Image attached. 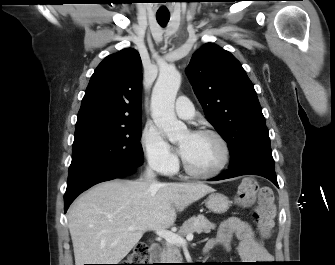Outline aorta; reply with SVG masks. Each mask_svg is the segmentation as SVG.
<instances>
[{
	"mask_svg": "<svg viewBox=\"0 0 335 265\" xmlns=\"http://www.w3.org/2000/svg\"><path fill=\"white\" fill-rule=\"evenodd\" d=\"M181 84V74L172 67L160 70L151 98L152 118L170 142L181 139L187 130L184 123L177 120L174 102Z\"/></svg>",
	"mask_w": 335,
	"mask_h": 265,
	"instance_id": "762f6f07",
	"label": "aorta"
}]
</instances>
